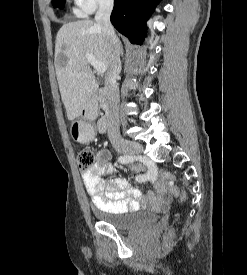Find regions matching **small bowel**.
<instances>
[{
    "instance_id": "obj_1",
    "label": "small bowel",
    "mask_w": 247,
    "mask_h": 275,
    "mask_svg": "<svg viewBox=\"0 0 247 275\" xmlns=\"http://www.w3.org/2000/svg\"><path fill=\"white\" fill-rule=\"evenodd\" d=\"M110 158L107 149L100 150L96 156V163L82 173L85 189L95 207L109 212H127L147 204L157 208L168 206L171 193L160 179L152 181L155 191L144 196L126 178L117 175ZM132 169L142 171L143 166H135ZM110 176L112 178H109Z\"/></svg>"
}]
</instances>
